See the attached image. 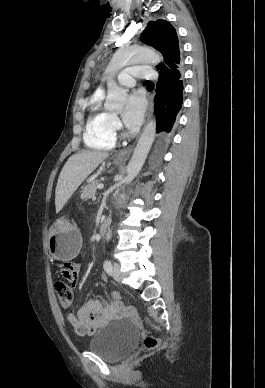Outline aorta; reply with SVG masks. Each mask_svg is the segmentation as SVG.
Segmentation results:
<instances>
[{
    "label": "aorta",
    "instance_id": "1",
    "mask_svg": "<svg viewBox=\"0 0 265 388\" xmlns=\"http://www.w3.org/2000/svg\"><path fill=\"white\" fill-rule=\"evenodd\" d=\"M161 61L162 57L156 51L149 48H135L117 51L106 69V72L109 74V80L107 82L108 94L106 107L109 109L120 108L126 100V91L120 88L114 79V76L120 69L133 63L159 64ZM155 135L156 121L155 119H152L145 127L134 150L132 158L128 163L127 176L125 178L126 184H129L141 170L153 144ZM106 238L107 240L111 238V231L107 233Z\"/></svg>",
    "mask_w": 265,
    "mask_h": 388
}]
</instances>
